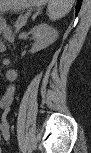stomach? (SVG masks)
<instances>
[{"mask_svg": "<svg viewBox=\"0 0 91 153\" xmlns=\"http://www.w3.org/2000/svg\"><path fill=\"white\" fill-rule=\"evenodd\" d=\"M44 1H38V0H1L0 4L2 7H8L12 5H16L15 10H20L25 7H30L33 5H40L43 4Z\"/></svg>", "mask_w": 91, "mask_h": 153, "instance_id": "1", "label": "stomach"}]
</instances>
